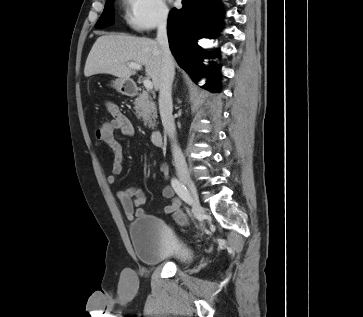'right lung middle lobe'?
Wrapping results in <instances>:
<instances>
[{
  "mask_svg": "<svg viewBox=\"0 0 363 317\" xmlns=\"http://www.w3.org/2000/svg\"><path fill=\"white\" fill-rule=\"evenodd\" d=\"M113 1L114 0H107L105 4L104 11L96 23L97 28H103L110 26L113 23Z\"/></svg>",
  "mask_w": 363,
  "mask_h": 317,
  "instance_id": "dd1d6c3e",
  "label": "right lung middle lobe"
}]
</instances>
